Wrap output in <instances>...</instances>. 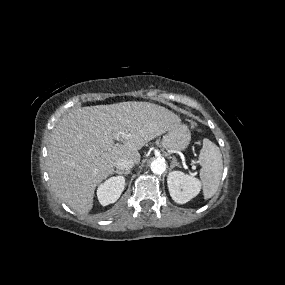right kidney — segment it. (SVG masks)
I'll use <instances>...</instances> for the list:
<instances>
[{"label":"right kidney","mask_w":285,"mask_h":285,"mask_svg":"<svg viewBox=\"0 0 285 285\" xmlns=\"http://www.w3.org/2000/svg\"><path fill=\"white\" fill-rule=\"evenodd\" d=\"M125 178L122 176L111 177L99 185L97 197L101 205L106 206L118 200L124 190Z\"/></svg>","instance_id":"1"}]
</instances>
